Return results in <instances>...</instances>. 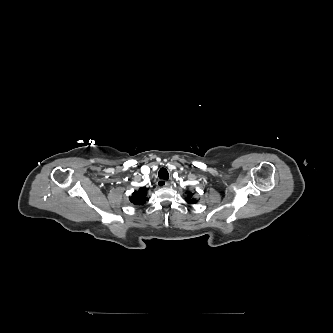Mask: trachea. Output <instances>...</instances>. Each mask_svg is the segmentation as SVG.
Listing matches in <instances>:
<instances>
[{
	"label": "trachea",
	"instance_id": "3493384b",
	"mask_svg": "<svg viewBox=\"0 0 333 333\" xmlns=\"http://www.w3.org/2000/svg\"><path fill=\"white\" fill-rule=\"evenodd\" d=\"M158 176H159L160 179H163V180H168L169 179V173L165 168H161L159 170Z\"/></svg>",
	"mask_w": 333,
	"mask_h": 333
}]
</instances>
